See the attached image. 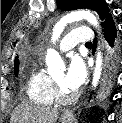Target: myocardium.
Masks as SVG:
<instances>
[{
    "instance_id": "f54148a6",
    "label": "myocardium",
    "mask_w": 122,
    "mask_h": 123,
    "mask_svg": "<svg viewBox=\"0 0 122 123\" xmlns=\"http://www.w3.org/2000/svg\"><path fill=\"white\" fill-rule=\"evenodd\" d=\"M52 89L54 99L60 103L73 102L78 97L77 92L72 93L65 92L54 79H52Z\"/></svg>"
}]
</instances>
